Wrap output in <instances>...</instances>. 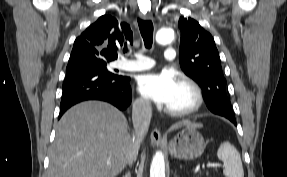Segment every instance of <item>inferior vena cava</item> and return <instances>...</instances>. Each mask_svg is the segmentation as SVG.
Returning <instances> with one entry per match:
<instances>
[{
	"label": "inferior vena cava",
	"mask_w": 287,
	"mask_h": 177,
	"mask_svg": "<svg viewBox=\"0 0 287 177\" xmlns=\"http://www.w3.org/2000/svg\"><path fill=\"white\" fill-rule=\"evenodd\" d=\"M152 117L151 102L147 99H138L132 108V121L134 126L132 148L129 156V164L136 159L140 144L147 134Z\"/></svg>",
	"instance_id": "602c4592"
}]
</instances>
